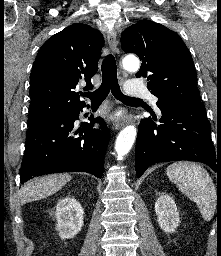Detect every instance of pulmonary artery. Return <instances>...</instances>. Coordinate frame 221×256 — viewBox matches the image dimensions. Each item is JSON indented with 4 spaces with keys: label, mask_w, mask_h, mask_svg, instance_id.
<instances>
[{
    "label": "pulmonary artery",
    "mask_w": 221,
    "mask_h": 256,
    "mask_svg": "<svg viewBox=\"0 0 221 256\" xmlns=\"http://www.w3.org/2000/svg\"><path fill=\"white\" fill-rule=\"evenodd\" d=\"M126 92L132 97H146L156 106L157 97L152 95L147 87L139 80H130L126 83Z\"/></svg>",
    "instance_id": "1"
}]
</instances>
